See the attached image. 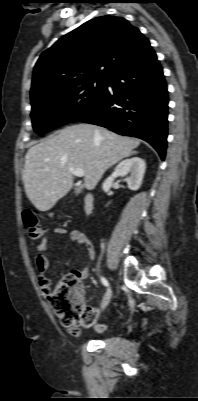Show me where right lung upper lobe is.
<instances>
[{
    "label": "right lung upper lobe",
    "instance_id": "cb5924a9",
    "mask_svg": "<svg viewBox=\"0 0 198 401\" xmlns=\"http://www.w3.org/2000/svg\"><path fill=\"white\" fill-rule=\"evenodd\" d=\"M149 47V41L124 18H94L41 54L33 71L31 101L56 89L107 80Z\"/></svg>",
    "mask_w": 198,
    "mask_h": 401
}]
</instances>
